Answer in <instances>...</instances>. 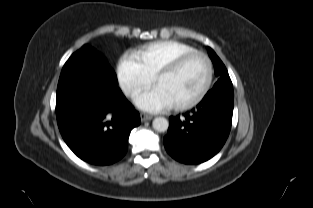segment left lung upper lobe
<instances>
[{"label": "left lung upper lobe", "mask_w": 313, "mask_h": 208, "mask_svg": "<svg viewBox=\"0 0 313 208\" xmlns=\"http://www.w3.org/2000/svg\"><path fill=\"white\" fill-rule=\"evenodd\" d=\"M208 53L214 64L215 75L219 78L213 89L220 87H232V82L225 65L210 47H208Z\"/></svg>", "instance_id": "1"}]
</instances>
